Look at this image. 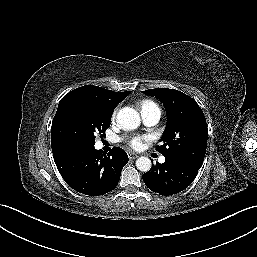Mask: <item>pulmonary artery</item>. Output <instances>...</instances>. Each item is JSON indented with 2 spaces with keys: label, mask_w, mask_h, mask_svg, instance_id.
<instances>
[{
  "label": "pulmonary artery",
  "mask_w": 257,
  "mask_h": 257,
  "mask_svg": "<svg viewBox=\"0 0 257 257\" xmlns=\"http://www.w3.org/2000/svg\"><path fill=\"white\" fill-rule=\"evenodd\" d=\"M160 117H161V112L158 111V110H151V111L144 112L142 114L143 122L147 126H154V125H156L159 122ZM159 162L160 163H164L165 162V157L161 156L159 158Z\"/></svg>",
  "instance_id": "pulmonary-artery-1"
}]
</instances>
